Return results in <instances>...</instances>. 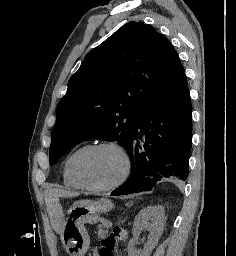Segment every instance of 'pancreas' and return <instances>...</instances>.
Returning a JSON list of instances; mask_svg holds the SVG:
<instances>
[{
	"label": "pancreas",
	"instance_id": "cf45deb5",
	"mask_svg": "<svg viewBox=\"0 0 236 256\" xmlns=\"http://www.w3.org/2000/svg\"><path fill=\"white\" fill-rule=\"evenodd\" d=\"M107 232H108L107 226H104V224H99L98 232H97V235L99 236V238H104Z\"/></svg>",
	"mask_w": 236,
	"mask_h": 256
}]
</instances>
